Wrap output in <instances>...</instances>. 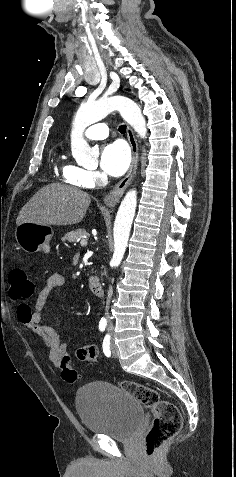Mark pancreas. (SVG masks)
I'll return each instance as SVG.
<instances>
[{"label": "pancreas", "mask_w": 236, "mask_h": 477, "mask_svg": "<svg viewBox=\"0 0 236 477\" xmlns=\"http://www.w3.org/2000/svg\"><path fill=\"white\" fill-rule=\"evenodd\" d=\"M89 234L86 232V230L84 229H77L75 231H72V232H69L67 234L64 235V237L62 238V240L65 242V241H68L70 243H76L80 240H83L85 238H87Z\"/></svg>", "instance_id": "pancreas-1"}]
</instances>
